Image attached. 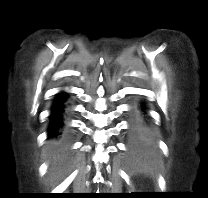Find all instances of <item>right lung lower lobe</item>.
<instances>
[{
	"instance_id": "right-lung-lower-lobe-1",
	"label": "right lung lower lobe",
	"mask_w": 208,
	"mask_h": 198,
	"mask_svg": "<svg viewBox=\"0 0 208 198\" xmlns=\"http://www.w3.org/2000/svg\"><path fill=\"white\" fill-rule=\"evenodd\" d=\"M67 94L65 93H60L56 99V102L52 108V120L55 121L53 124L50 125L49 128V137H55L57 138L61 134V128L63 126L62 122V115L65 111V105L64 102L66 101ZM65 146L64 144L59 141L55 147L53 148V153L56 156H63L65 154Z\"/></svg>"
}]
</instances>
